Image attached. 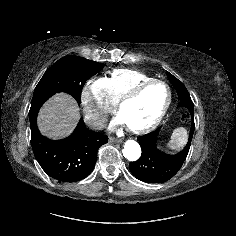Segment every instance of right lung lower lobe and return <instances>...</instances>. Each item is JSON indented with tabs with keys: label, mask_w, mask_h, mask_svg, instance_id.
I'll return each mask as SVG.
<instances>
[{
	"label": "right lung lower lobe",
	"mask_w": 236,
	"mask_h": 236,
	"mask_svg": "<svg viewBox=\"0 0 236 236\" xmlns=\"http://www.w3.org/2000/svg\"><path fill=\"white\" fill-rule=\"evenodd\" d=\"M39 110L29 112L31 145L34 156L47 175L60 182H77L93 170L97 152L108 137L87 129L81 119L67 138L52 140L41 135L37 127Z\"/></svg>",
	"instance_id": "right-lung-lower-lobe-1"
}]
</instances>
